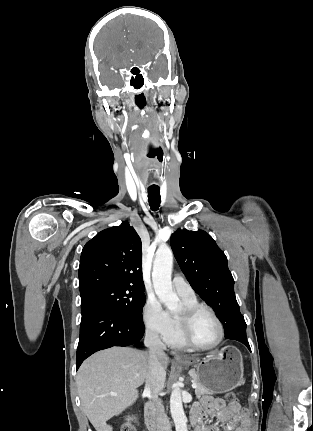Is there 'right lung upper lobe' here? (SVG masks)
Masks as SVG:
<instances>
[{
    "mask_svg": "<svg viewBox=\"0 0 313 431\" xmlns=\"http://www.w3.org/2000/svg\"><path fill=\"white\" fill-rule=\"evenodd\" d=\"M141 253V239L127 222L99 232L81 253V297L114 286L144 289Z\"/></svg>",
    "mask_w": 313,
    "mask_h": 431,
    "instance_id": "right-lung-upper-lobe-1",
    "label": "right lung upper lobe"
}]
</instances>
